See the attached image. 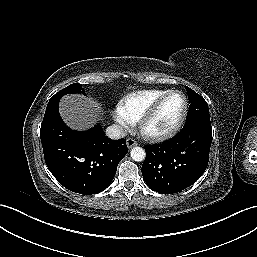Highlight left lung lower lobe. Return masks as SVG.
Instances as JSON below:
<instances>
[{
  "instance_id": "0a47b994",
  "label": "left lung lower lobe",
  "mask_w": 257,
  "mask_h": 257,
  "mask_svg": "<svg viewBox=\"0 0 257 257\" xmlns=\"http://www.w3.org/2000/svg\"><path fill=\"white\" fill-rule=\"evenodd\" d=\"M212 143V127L193 124L171 140L146 145L142 175L160 194H173L194 184L205 172Z\"/></svg>"
}]
</instances>
